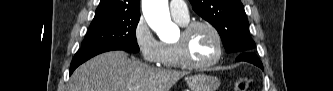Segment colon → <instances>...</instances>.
I'll use <instances>...</instances> for the list:
<instances>
[{
  "instance_id": "obj_1",
  "label": "colon",
  "mask_w": 333,
  "mask_h": 91,
  "mask_svg": "<svg viewBox=\"0 0 333 91\" xmlns=\"http://www.w3.org/2000/svg\"><path fill=\"white\" fill-rule=\"evenodd\" d=\"M251 81L248 78H240L235 84V90L246 91L249 88Z\"/></svg>"
}]
</instances>
